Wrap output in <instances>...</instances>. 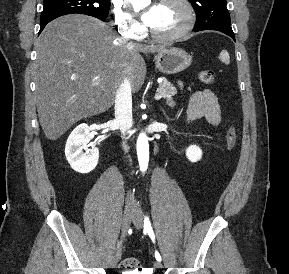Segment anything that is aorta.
<instances>
[{"mask_svg": "<svg viewBox=\"0 0 289 274\" xmlns=\"http://www.w3.org/2000/svg\"><path fill=\"white\" fill-rule=\"evenodd\" d=\"M137 1V0H133ZM137 155L141 171H146L149 162V144L145 133H140L137 139Z\"/></svg>", "mask_w": 289, "mask_h": 274, "instance_id": "aorta-1", "label": "aorta"}]
</instances>
